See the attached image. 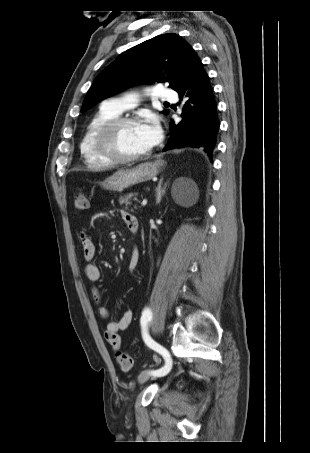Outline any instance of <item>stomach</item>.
I'll return each instance as SVG.
<instances>
[{"mask_svg":"<svg viewBox=\"0 0 310 453\" xmlns=\"http://www.w3.org/2000/svg\"><path fill=\"white\" fill-rule=\"evenodd\" d=\"M163 160L145 162L131 169H120L102 182L105 189L121 192L130 186L155 177L164 167Z\"/></svg>","mask_w":310,"mask_h":453,"instance_id":"1","label":"stomach"}]
</instances>
